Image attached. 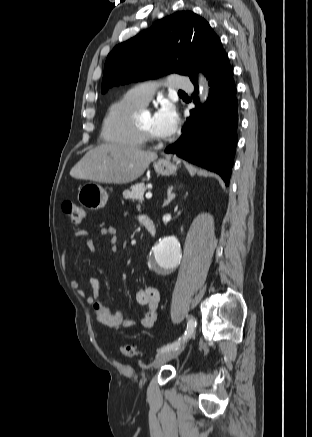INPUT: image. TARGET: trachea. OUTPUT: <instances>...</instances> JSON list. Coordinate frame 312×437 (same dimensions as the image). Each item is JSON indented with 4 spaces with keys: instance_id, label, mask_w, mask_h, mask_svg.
Listing matches in <instances>:
<instances>
[{
    "instance_id": "3493384b",
    "label": "trachea",
    "mask_w": 312,
    "mask_h": 437,
    "mask_svg": "<svg viewBox=\"0 0 312 437\" xmlns=\"http://www.w3.org/2000/svg\"><path fill=\"white\" fill-rule=\"evenodd\" d=\"M178 93H179V94H184L185 92L182 91V90H179Z\"/></svg>"
}]
</instances>
